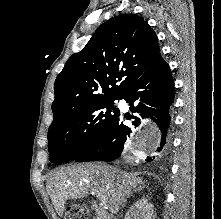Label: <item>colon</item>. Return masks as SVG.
<instances>
[{
	"label": "colon",
	"mask_w": 221,
	"mask_h": 219,
	"mask_svg": "<svg viewBox=\"0 0 221 219\" xmlns=\"http://www.w3.org/2000/svg\"><path fill=\"white\" fill-rule=\"evenodd\" d=\"M66 219H87V215L80 206L70 205L66 210Z\"/></svg>",
	"instance_id": "obj_1"
}]
</instances>
